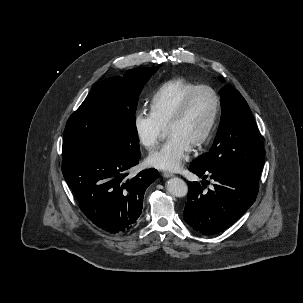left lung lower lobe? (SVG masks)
Wrapping results in <instances>:
<instances>
[{
	"mask_svg": "<svg viewBox=\"0 0 303 303\" xmlns=\"http://www.w3.org/2000/svg\"><path fill=\"white\" fill-rule=\"evenodd\" d=\"M190 170L196 175L215 181L214 188L204 191L207 181L188 184V202L184 220L194 230L206 235L223 231L254 203L258 183L247 176L220 167H202L191 163ZM208 183V182H207Z\"/></svg>",
	"mask_w": 303,
	"mask_h": 303,
	"instance_id": "obj_1",
	"label": "left lung lower lobe"
}]
</instances>
